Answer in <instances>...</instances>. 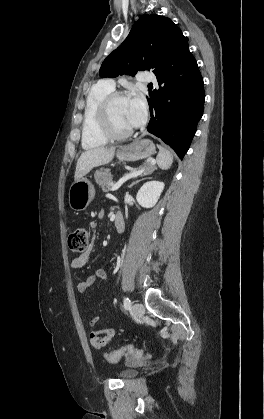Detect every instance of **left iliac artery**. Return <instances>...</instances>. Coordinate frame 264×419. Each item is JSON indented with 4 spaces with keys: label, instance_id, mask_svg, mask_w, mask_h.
<instances>
[{
    "label": "left iliac artery",
    "instance_id": "obj_1",
    "mask_svg": "<svg viewBox=\"0 0 264 419\" xmlns=\"http://www.w3.org/2000/svg\"><path fill=\"white\" fill-rule=\"evenodd\" d=\"M123 305L126 310L131 308V301L128 297L123 298Z\"/></svg>",
    "mask_w": 264,
    "mask_h": 419
}]
</instances>
